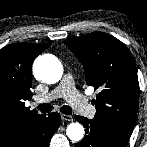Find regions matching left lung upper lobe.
I'll return each mask as SVG.
<instances>
[{"label":"left lung upper lobe","instance_id":"left-lung-upper-lobe-1","mask_svg":"<svg viewBox=\"0 0 147 147\" xmlns=\"http://www.w3.org/2000/svg\"><path fill=\"white\" fill-rule=\"evenodd\" d=\"M65 44L83 64L87 84L99 90L93 120L128 142L139 96L137 70L130 50L104 32L67 39Z\"/></svg>","mask_w":147,"mask_h":147}]
</instances>
